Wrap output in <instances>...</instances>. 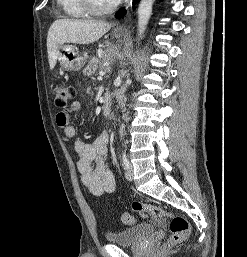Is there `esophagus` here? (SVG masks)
Listing matches in <instances>:
<instances>
[{
	"label": "esophagus",
	"mask_w": 247,
	"mask_h": 257,
	"mask_svg": "<svg viewBox=\"0 0 247 257\" xmlns=\"http://www.w3.org/2000/svg\"><path fill=\"white\" fill-rule=\"evenodd\" d=\"M127 30V19H125L124 22L118 24L115 28L114 31L116 32H125Z\"/></svg>",
	"instance_id": "esophagus-1"
}]
</instances>
